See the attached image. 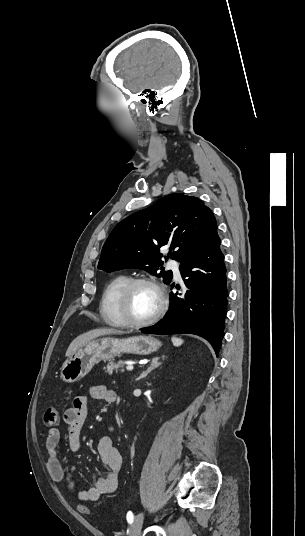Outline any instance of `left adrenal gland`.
I'll list each match as a JSON object with an SVG mask.
<instances>
[{
	"label": "left adrenal gland",
	"instance_id": "1",
	"mask_svg": "<svg viewBox=\"0 0 305 536\" xmlns=\"http://www.w3.org/2000/svg\"><path fill=\"white\" fill-rule=\"evenodd\" d=\"M159 360L160 358H153L150 368H148L146 372H142L141 376H139V378H136V380H141V378H146V376L150 374L151 370H155V368H159V366H161V362H159Z\"/></svg>",
	"mask_w": 305,
	"mask_h": 536
}]
</instances>
